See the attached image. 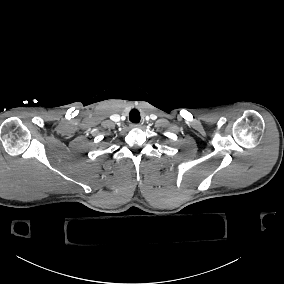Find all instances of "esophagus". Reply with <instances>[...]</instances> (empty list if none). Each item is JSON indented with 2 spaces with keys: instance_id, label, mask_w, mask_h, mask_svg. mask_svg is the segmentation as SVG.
Instances as JSON below:
<instances>
[{
  "instance_id": "esophagus-1",
  "label": "esophagus",
  "mask_w": 284,
  "mask_h": 284,
  "mask_svg": "<svg viewBox=\"0 0 284 284\" xmlns=\"http://www.w3.org/2000/svg\"><path fill=\"white\" fill-rule=\"evenodd\" d=\"M141 127V125L140 124H137V123H132V124H130V128H140Z\"/></svg>"
}]
</instances>
